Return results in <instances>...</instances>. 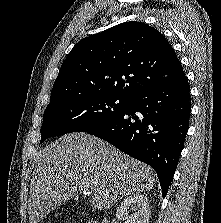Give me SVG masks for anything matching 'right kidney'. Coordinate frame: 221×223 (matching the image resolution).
I'll use <instances>...</instances> for the list:
<instances>
[{
    "label": "right kidney",
    "instance_id": "obj_1",
    "mask_svg": "<svg viewBox=\"0 0 221 223\" xmlns=\"http://www.w3.org/2000/svg\"><path fill=\"white\" fill-rule=\"evenodd\" d=\"M128 209L134 211L130 216ZM149 217V203L144 195L136 194L127 197L116 210V218L121 223H149Z\"/></svg>",
    "mask_w": 221,
    "mask_h": 223
}]
</instances>
